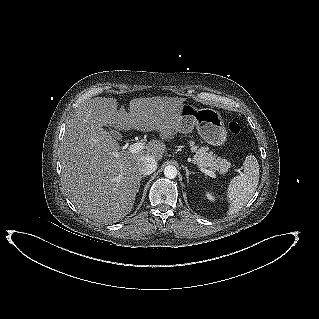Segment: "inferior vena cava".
Masks as SVG:
<instances>
[{"label":"inferior vena cava","instance_id":"obj_1","mask_svg":"<svg viewBox=\"0 0 319 319\" xmlns=\"http://www.w3.org/2000/svg\"><path fill=\"white\" fill-rule=\"evenodd\" d=\"M157 169V161L151 157L147 156L142 158L139 162V172L143 175H150Z\"/></svg>","mask_w":319,"mask_h":319}]
</instances>
